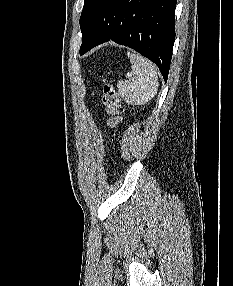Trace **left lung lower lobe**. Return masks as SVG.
I'll return each mask as SVG.
<instances>
[{"label":"left lung lower lobe","mask_w":233,"mask_h":286,"mask_svg":"<svg viewBox=\"0 0 233 286\" xmlns=\"http://www.w3.org/2000/svg\"><path fill=\"white\" fill-rule=\"evenodd\" d=\"M177 0H96L82 29L80 55L112 40L153 61L165 82L175 41Z\"/></svg>","instance_id":"0a47b994"}]
</instances>
